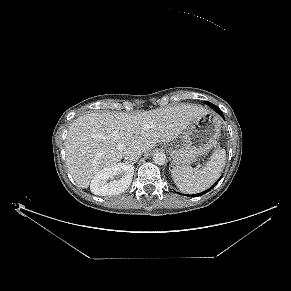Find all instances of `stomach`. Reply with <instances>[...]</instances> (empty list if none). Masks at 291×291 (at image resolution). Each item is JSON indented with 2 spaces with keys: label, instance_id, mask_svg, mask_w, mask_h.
Wrapping results in <instances>:
<instances>
[{
  "label": "stomach",
  "instance_id": "stomach-1",
  "mask_svg": "<svg viewBox=\"0 0 291 291\" xmlns=\"http://www.w3.org/2000/svg\"><path fill=\"white\" fill-rule=\"evenodd\" d=\"M220 137V121L208 113L193 121L170 150L174 167L189 166L217 144Z\"/></svg>",
  "mask_w": 291,
  "mask_h": 291
}]
</instances>
